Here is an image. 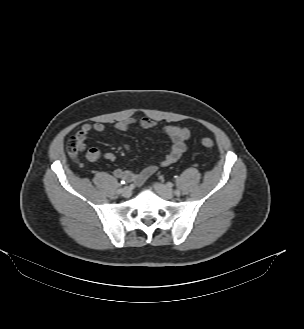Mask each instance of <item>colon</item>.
Returning <instances> with one entry per match:
<instances>
[{
  "label": "colon",
  "mask_w": 304,
  "mask_h": 329,
  "mask_svg": "<svg viewBox=\"0 0 304 329\" xmlns=\"http://www.w3.org/2000/svg\"><path fill=\"white\" fill-rule=\"evenodd\" d=\"M200 143L203 147L207 149H212L215 145L214 140L211 137L204 136L201 138ZM66 150L68 155L72 159H77L79 152L82 150L81 145L77 139L73 136L67 141Z\"/></svg>",
  "instance_id": "obj_1"
}]
</instances>
